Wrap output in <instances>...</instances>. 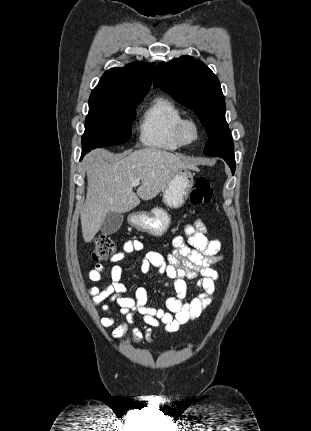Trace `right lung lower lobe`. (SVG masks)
<instances>
[{"mask_svg": "<svg viewBox=\"0 0 311 431\" xmlns=\"http://www.w3.org/2000/svg\"><path fill=\"white\" fill-rule=\"evenodd\" d=\"M84 155H85V153H84V152H82V157H83ZM82 157H81V158H82Z\"/></svg>", "mask_w": 311, "mask_h": 431, "instance_id": "98d812e1", "label": "right lung lower lobe"}]
</instances>
